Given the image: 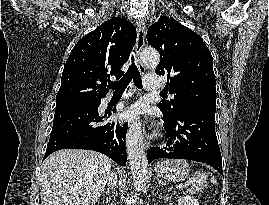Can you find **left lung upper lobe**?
<instances>
[{
    "label": "left lung upper lobe",
    "instance_id": "obj_1",
    "mask_svg": "<svg viewBox=\"0 0 269 205\" xmlns=\"http://www.w3.org/2000/svg\"><path fill=\"white\" fill-rule=\"evenodd\" d=\"M147 42L161 56L156 74L166 75L174 99L158 107L169 115L196 107L216 108L213 58L203 39L173 18L161 17L149 27Z\"/></svg>",
    "mask_w": 269,
    "mask_h": 205
}]
</instances>
